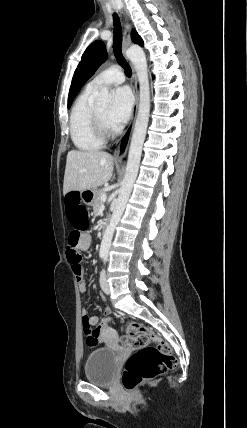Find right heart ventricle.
I'll list each match as a JSON object with an SVG mask.
<instances>
[{"instance_id":"right-heart-ventricle-1","label":"right heart ventricle","mask_w":247,"mask_h":428,"mask_svg":"<svg viewBox=\"0 0 247 428\" xmlns=\"http://www.w3.org/2000/svg\"><path fill=\"white\" fill-rule=\"evenodd\" d=\"M97 89L86 87L76 99L70 114L71 139L81 151H95L102 147L100 139L92 126L93 98Z\"/></svg>"}]
</instances>
